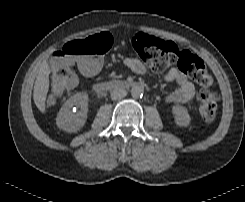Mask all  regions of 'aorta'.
<instances>
[{"label":"aorta","mask_w":245,"mask_h":202,"mask_svg":"<svg viewBox=\"0 0 245 202\" xmlns=\"http://www.w3.org/2000/svg\"><path fill=\"white\" fill-rule=\"evenodd\" d=\"M144 89L141 86H135L131 89V95L133 98H141L143 96Z\"/></svg>","instance_id":"aorta-1"}]
</instances>
